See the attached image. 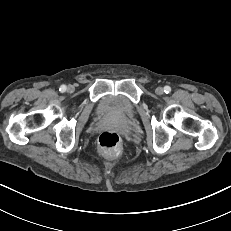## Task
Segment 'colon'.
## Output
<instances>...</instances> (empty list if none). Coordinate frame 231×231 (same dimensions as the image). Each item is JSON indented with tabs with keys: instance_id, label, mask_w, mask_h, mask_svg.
<instances>
[{
	"instance_id": "obj_1",
	"label": "colon",
	"mask_w": 231,
	"mask_h": 231,
	"mask_svg": "<svg viewBox=\"0 0 231 231\" xmlns=\"http://www.w3.org/2000/svg\"><path fill=\"white\" fill-rule=\"evenodd\" d=\"M121 146L120 136L113 131H104L98 138V149L106 155H116Z\"/></svg>"
}]
</instances>
